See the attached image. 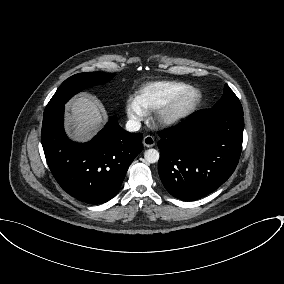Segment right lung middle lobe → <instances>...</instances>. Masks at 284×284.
Instances as JSON below:
<instances>
[{
  "mask_svg": "<svg viewBox=\"0 0 284 284\" xmlns=\"http://www.w3.org/2000/svg\"><path fill=\"white\" fill-rule=\"evenodd\" d=\"M114 74L96 72V73H79L66 79L57 89L49 103L47 104L44 116L52 113L64 104L76 93L85 88L98 85L109 81Z\"/></svg>",
  "mask_w": 284,
  "mask_h": 284,
  "instance_id": "1",
  "label": "right lung middle lobe"
}]
</instances>
